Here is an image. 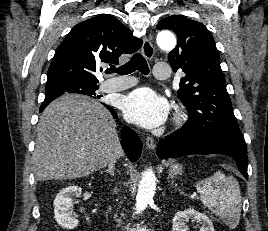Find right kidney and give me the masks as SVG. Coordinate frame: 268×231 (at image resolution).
<instances>
[{"label":"right kidney","instance_id":"right-kidney-1","mask_svg":"<svg viewBox=\"0 0 268 231\" xmlns=\"http://www.w3.org/2000/svg\"><path fill=\"white\" fill-rule=\"evenodd\" d=\"M82 189L79 186H69L63 188L54 200V215L56 222L66 229H74L78 225V220L72 216L70 208L72 199L79 196Z\"/></svg>","mask_w":268,"mask_h":231}]
</instances>
